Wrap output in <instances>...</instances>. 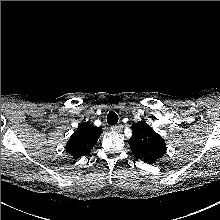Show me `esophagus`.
Instances as JSON below:
<instances>
[{"mask_svg":"<svg viewBox=\"0 0 220 220\" xmlns=\"http://www.w3.org/2000/svg\"><path fill=\"white\" fill-rule=\"evenodd\" d=\"M122 129H123L122 125H113V126H111V130L115 131V132H121Z\"/></svg>","mask_w":220,"mask_h":220,"instance_id":"34e87169","label":"esophagus"}]
</instances>
